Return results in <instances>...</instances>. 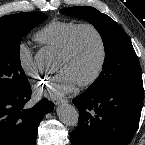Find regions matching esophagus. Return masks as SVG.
<instances>
[{
    "label": "esophagus",
    "mask_w": 145,
    "mask_h": 145,
    "mask_svg": "<svg viewBox=\"0 0 145 145\" xmlns=\"http://www.w3.org/2000/svg\"><path fill=\"white\" fill-rule=\"evenodd\" d=\"M66 101H67L66 99H60V98H53V99H52V102H53V104H55V105H59V104L64 103V102H66Z\"/></svg>",
    "instance_id": "1"
}]
</instances>
